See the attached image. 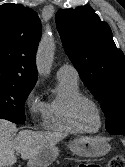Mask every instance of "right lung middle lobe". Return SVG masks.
<instances>
[{"label":"right lung middle lobe","instance_id":"right-lung-middle-lobe-1","mask_svg":"<svg viewBox=\"0 0 125 167\" xmlns=\"http://www.w3.org/2000/svg\"><path fill=\"white\" fill-rule=\"evenodd\" d=\"M32 89L0 84V114L25 120L24 104Z\"/></svg>","mask_w":125,"mask_h":167}]
</instances>
